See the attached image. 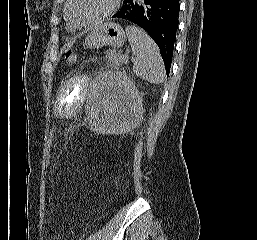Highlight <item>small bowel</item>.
<instances>
[{
	"instance_id": "1",
	"label": "small bowel",
	"mask_w": 257,
	"mask_h": 240,
	"mask_svg": "<svg viewBox=\"0 0 257 240\" xmlns=\"http://www.w3.org/2000/svg\"><path fill=\"white\" fill-rule=\"evenodd\" d=\"M96 59H97V58H91L90 61H94V60H96Z\"/></svg>"
}]
</instances>
